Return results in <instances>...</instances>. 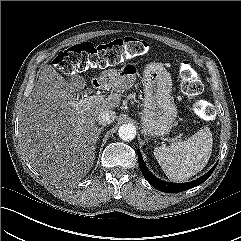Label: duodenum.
Segmentation results:
<instances>
[{
	"mask_svg": "<svg viewBox=\"0 0 241 241\" xmlns=\"http://www.w3.org/2000/svg\"><path fill=\"white\" fill-rule=\"evenodd\" d=\"M103 86V81L101 79H93L92 80V87L94 89H100Z\"/></svg>",
	"mask_w": 241,
	"mask_h": 241,
	"instance_id": "obj_1",
	"label": "duodenum"
}]
</instances>
